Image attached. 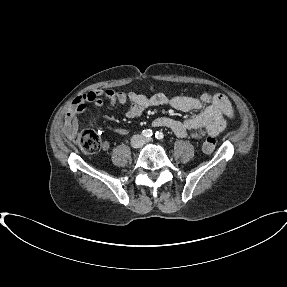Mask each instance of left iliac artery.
<instances>
[{
	"label": "left iliac artery",
	"mask_w": 287,
	"mask_h": 287,
	"mask_svg": "<svg viewBox=\"0 0 287 287\" xmlns=\"http://www.w3.org/2000/svg\"><path fill=\"white\" fill-rule=\"evenodd\" d=\"M155 138L158 139V140H161V139L164 138V134L162 132H160V131H157L155 133Z\"/></svg>",
	"instance_id": "1"
}]
</instances>
